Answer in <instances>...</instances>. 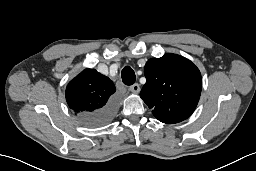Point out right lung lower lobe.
I'll use <instances>...</instances> for the list:
<instances>
[{
    "instance_id": "98d812e1",
    "label": "right lung lower lobe",
    "mask_w": 256,
    "mask_h": 171,
    "mask_svg": "<svg viewBox=\"0 0 256 171\" xmlns=\"http://www.w3.org/2000/svg\"><path fill=\"white\" fill-rule=\"evenodd\" d=\"M116 113V101L111 100L104 108L90 113L83 118L89 126H100L112 120Z\"/></svg>"
}]
</instances>
